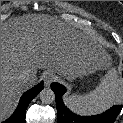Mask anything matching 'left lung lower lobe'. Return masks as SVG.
I'll use <instances>...</instances> for the list:
<instances>
[{
  "mask_svg": "<svg viewBox=\"0 0 123 123\" xmlns=\"http://www.w3.org/2000/svg\"><path fill=\"white\" fill-rule=\"evenodd\" d=\"M51 89L55 93L58 123H114L122 109V105H116L101 115L81 117L73 114L63 103L62 96L66 92L65 87L59 83H52Z\"/></svg>",
  "mask_w": 123,
  "mask_h": 123,
  "instance_id": "obj_1",
  "label": "left lung lower lobe"
}]
</instances>
